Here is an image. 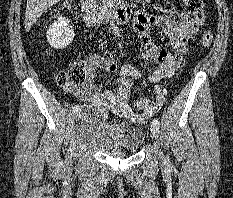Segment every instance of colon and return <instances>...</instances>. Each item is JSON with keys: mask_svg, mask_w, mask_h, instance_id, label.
<instances>
[{"mask_svg": "<svg viewBox=\"0 0 233 198\" xmlns=\"http://www.w3.org/2000/svg\"><path fill=\"white\" fill-rule=\"evenodd\" d=\"M186 8L194 16L195 21L202 25L205 20L204 2L203 0H184ZM69 0L65 3V7L69 5ZM213 35L211 31L206 30L200 41L203 49H208L212 43ZM84 70L82 65L77 64L66 71H61L57 75V82L63 89H70L71 87L80 86L84 83ZM160 102L157 99L141 97L135 101L137 110L150 114L158 108Z\"/></svg>", "mask_w": 233, "mask_h": 198, "instance_id": "obj_1", "label": "colon"}]
</instances>
